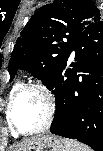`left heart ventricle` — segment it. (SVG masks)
<instances>
[{"label": "left heart ventricle", "mask_w": 103, "mask_h": 151, "mask_svg": "<svg viewBox=\"0 0 103 151\" xmlns=\"http://www.w3.org/2000/svg\"><path fill=\"white\" fill-rule=\"evenodd\" d=\"M16 124L25 131L39 128L45 120V105L35 91H26L16 100L13 109Z\"/></svg>", "instance_id": "obj_1"}]
</instances>
